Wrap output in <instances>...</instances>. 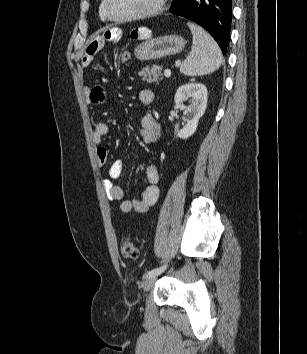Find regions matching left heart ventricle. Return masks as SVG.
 Masks as SVG:
<instances>
[{
  "label": "left heart ventricle",
  "instance_id": "left-heart-ventricle-1",
  "mask_svg": "<svg viewBox=\"0 0 307 354\" xmlns=\"http://www.w3.org/2000/svg\"><path fill=\"white\" fill-rule=\"evenodd\" d=\"M156 0H110L112 11L119 16L133 15L148 10Z\"/></svg>",
  "mask_w": 307,
  "mask_h": 354
}]
</instances>
